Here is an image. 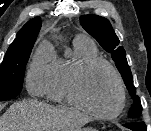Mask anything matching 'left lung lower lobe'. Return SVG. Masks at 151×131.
<instances>
[{
	"instance_id": "1",
	"label": "left lung lower lobe",
	"mask_w": 151,
	"mask_h": 131,
	"mask_svg": "<svg viewBox=\"0 0 151 131\" xmlns=\"http://www.w3.org/2000/svg\"><path fill=\"white\" fill-rule=\"evenodd\" d=\"M123 126L133 131H147V127L144 123L135 122L131 124H124Z\"/></svg>"
}]
</instances>
